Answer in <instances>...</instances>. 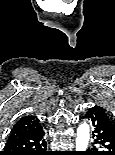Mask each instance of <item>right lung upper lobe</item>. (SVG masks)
Listing matches in <instances>:
<instances>
[{"mask_svg":"<svg viewBox=\"0 0 115 155\" xmlns=\"http://www.w3.org/2000/svg\"><path fill=\"white\" fill-rule=\"evenodd\" d=\"M41 128L42 126L37 118L34 116H25L13 126L9 139L33 133Z\"/></svg>","mask_w":115,"mask_h":155,"instance_id":"right-lung-upper-lobe-1","label":"right lung upper lobe"}]
</instances>
